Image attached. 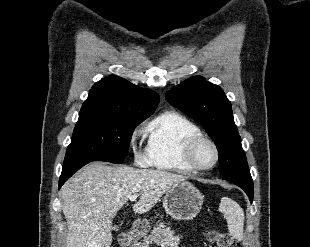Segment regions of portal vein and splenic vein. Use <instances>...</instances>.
<instances>
[{"label": "portal vein and splenic vein", "mask_w": 310, "mask_h": 247, "mask_svg": "<svg viewBox=\"0 0 310 247\" xmlns=\"http://www.w3.org/2000/svg\"><path fill=\"white\" fill-rule=\"evenodd\" d=\"M137 197H138V195H132V196L129 197V200L131 202L136 201Z\"/></svg>", "instance_id": "18ae733b"}]
</instances>
